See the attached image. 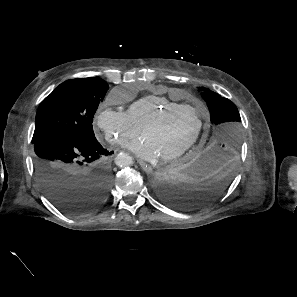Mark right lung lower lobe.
<instances>
[{
	"label": "right lung lower lobe",
	"mask_w": 297,
	"mask_h": 297,
	"mask_svg": "<svg viewBox=\"0 0 297 297\" xmlns=\"http://www.w3.org/2000/svg\"><path fill=\"white\" fill-rule=\"evenodd\" d=\"M32 143L38 181L59 210L70 215L91 213L108 198L112 173L102 158L112 152L97 140L53 134Z\"/></svg>",
	"instance_id": "98d812e1"
}]
</instances>
